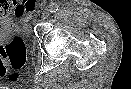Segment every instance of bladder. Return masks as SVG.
<instances>
[{
  "label": "bladder",
  "instance_id": "31cf9c89",
  "mask_svg": "<svg viewBox=\"0 0 131 89\" xmlns=\"http://www.w3.org/2000/svg\"><path fill=\"white\" fill-rule=\"evenodd\" d=\"M8 27H9V26H7V27H5V28H8ZM13 30H16V31L20 30V26H19L18 24L14 25V26H13ZM1 31H3V29L0 30V32H1Z\"/></svg>",
  "mask_w": 131,
  "mask_h": 89
}]
</instances>
